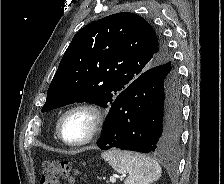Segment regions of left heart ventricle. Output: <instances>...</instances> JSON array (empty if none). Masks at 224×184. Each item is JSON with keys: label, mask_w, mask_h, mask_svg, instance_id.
Instances as JSON below:
<instances>
[{"label": "left heart ventricle", "mask_w": 224, "mask_h": 184, "mask_svg": "<svg viewBox=\"0 0 224 184\" xmlns=\"http://www.w3.org/2000/svg\"><path fill=\"white\" fill-rule=\"evenodd\" d=\"M91 116L82 111L70 114L64 122L63 134L69 141H79L85 138L91 127Z\"/></svg>", "instance_id": "left-heart-ventricle-1"}]
</instances>
